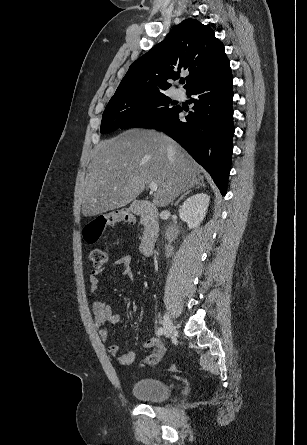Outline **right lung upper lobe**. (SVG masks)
Wrapping results in <instances>:
<instances>
[{
	"mask_svg": "<svg viewBox=\"0 0 307 445\" xmlns=\"http://www.w3.org/2000/svg\"><path fill=\"white\" fill-rule=\"evenodd\" d=\"M224 45L214 31L195 19L175 26L167 37L129 67L112 98L162 94L181 71L188 90L228 63ZM111 98V99H112Z\"/></svg>",
	"mask_w": 307,
	"mask_h": 445,
	"instance_id": "1",
	"label": "right lung upper lobe"
}]
</instances>
